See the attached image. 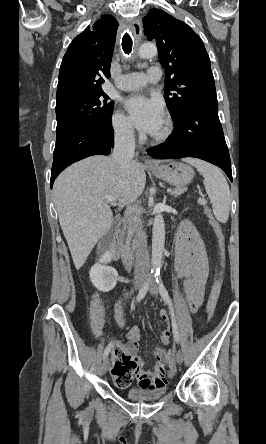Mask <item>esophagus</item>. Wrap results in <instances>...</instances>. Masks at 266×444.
<instances>
[{
    "label": "esophagus",
    "mask_w": 266,
    "mask_h": 444,
    "mask_svg": "<svg viewBox=\"0 0 266 444\" xmlns=\"http://www.w3.org/2000/svg\"><path fill=\"white\" fill-rule=\"evenodd\" d=\"M130 28L136 38H140L142 35V28H141V22L138 19H135L131 22ZM144 165L146 167H156L158 166V163L151 159L150 157L146 156L144 159Z\"/></svg>",
    "instance_id": "34e87169"
}]
</instances>
